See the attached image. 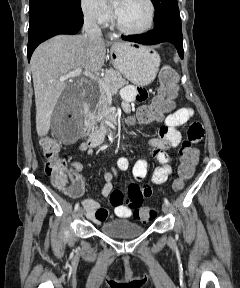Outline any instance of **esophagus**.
Segmentation results:
<instances>
[{
    "label": "esophagus",
    "mask_w": 240,
    "mask_h": 288,
    "mask_svg": "<svg viewBox=\"0 0 240 288\" xmlns=\"http://www.w3.org/2000/svg\"><path fill=\"white\" fill-rule=\"evenodd\" d=\"M115 38V35H111V39H114Z\"/></svg>",
    "instance_id": "34e87169"
}]
</instances>
